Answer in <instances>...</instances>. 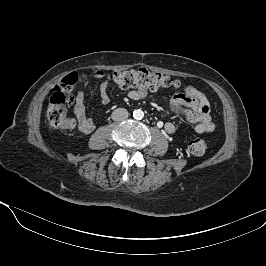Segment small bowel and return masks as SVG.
<instances>
[{"mask_svg":"<svg viewBox=\"0 0 266 266\" xmlns=\"http://www.w3.org/2000/svg\"><path fill=\"white\" fill-rule=\"evenodd\" d=\"M96 78H103V72L97 71L93 73ZM101 103L106 105L110 102L108 93V83L103 80L99 87ZM148 96L145 88H138L129 92V97L133 100H142ZM171 106L176 114L185 120L194 124V129L197 133H211L215 126L211 120L209 103L206 96L191 85H185L181 92L173 95ZM74 115L78 122V130L83 134H89L94 131L95 121L87 116L86 102L84 92L79 91L74 105ZM164 130L168 134L175 131V126L172 122H167L164 125Z\"/></svg>","mask_w":266,"mask_h":266,"instance_id":"c3829d8e","label":"small bowel"}]
</instances>
